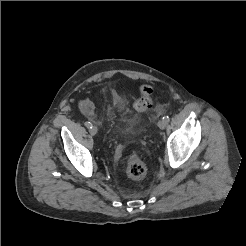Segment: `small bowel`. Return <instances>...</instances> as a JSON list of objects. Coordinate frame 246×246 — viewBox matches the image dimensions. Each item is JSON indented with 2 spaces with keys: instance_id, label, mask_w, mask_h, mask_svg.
<instances>
[{
  "instance_id": "small-bowel-1",
  "label": "small bowel",
  "mask_w": 246,
  "mask_h": 246,
  "mask_svg": "<svg viewBox=\"0 0 246 246\" xmlns=\"http://www.w3.org/2000/svg\"><path fill=\"white\" fill-rule=\"evenodd\" d=\"M83 111L87 114V115H91L92 114V110L90 108V105L89 104H84L83 106Z\"/></svg>"
}]
</instances>
